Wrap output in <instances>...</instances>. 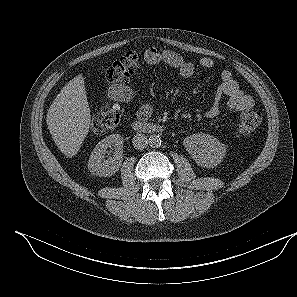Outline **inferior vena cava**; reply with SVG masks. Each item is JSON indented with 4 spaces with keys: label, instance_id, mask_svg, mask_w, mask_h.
<instances>
[{
    "label": "inferior vena cava",
    "instance_id": "602c4592",
    "mask_svg": "<svg viewBox=\"0 0 297 297\" xmlns=\"http://www.w3.org/2000/svg\"><path fill=\"white\" fill-rule=\"evenodd\" d=\"M133 146L137 150H142L147 147L148 139L145 134L137 133L132 140Z\"/></svg>",
    "mask_w": 297,
    "mask_h": 297
}]
</instances>
